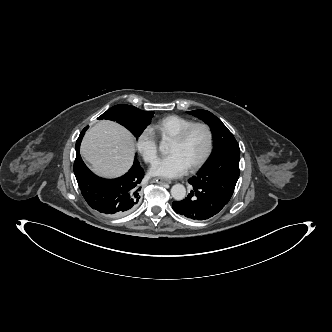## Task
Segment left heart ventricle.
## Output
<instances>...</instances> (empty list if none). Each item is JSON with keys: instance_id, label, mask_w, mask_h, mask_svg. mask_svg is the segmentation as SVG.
<instances>
[{"instance_id": "1", "label": "left heart ventricle", "mask_w": 332, "mask_h": 332, "mask_svg": "<svg viewBox=\"0 0 332 332\" xmlns=\"http://www.w3.org/2000/svg\"><path fill=\"white\" fill-rule=\"evenodd\" d=\"M208 137L204 128L196 127L187 136L184 142L178 144L171 142L169 153L178 154L190 166L205 151Z\"/></svg>"}]
</instances>
